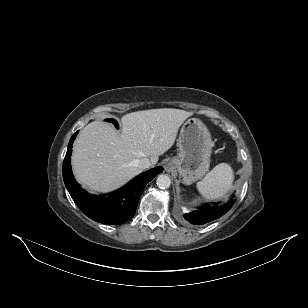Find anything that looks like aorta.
Listing matches in <instances>:
<instances>
[{"label":"aorta","mask_w":308,"mask_h":308,"mask_svg":"<svg viewBox=\"0 0 308 308\" xmlns=\"http://www.w3.org/2000/svg\"><path fill=\"white\" fill-rule=\"evenodd\" d=\"M157 186L161 189H167L171 185V179L168 175L161 174L157 177Z\"/></svg>","instance_id":"762f6f07"}]
</instances>
